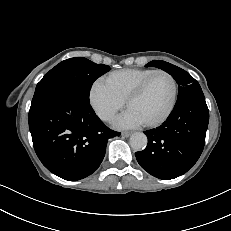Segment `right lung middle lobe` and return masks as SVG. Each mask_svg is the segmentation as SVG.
I'll list each match as a JSON object with an SVG mask.
<instances>
[{"mask_svg":"<svg viewBox=\"0 0 231 231\" xmlns=\"http://www.w3.org/2000/svg\"><path fill=\"white\" fill-rule=\"evenodd\" d=\"M109 70V66L96 64L83 57L64 60L37 84L31 107L39 105L49 96L60 91L73 92L89 100L93 82Z\"/></svg>","mask_w":231,"mask_h":231,"instance_id":"dd1d6c3e","label":"right lung middle lobe"}]
</instances>
